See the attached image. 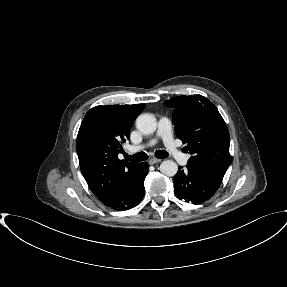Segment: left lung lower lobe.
Masks as SVG:
<instances>
[{
	"label": "left lung lower lobe",
	"mask_w": 287,
	"mask_h": 287,
	"mask_svg": "<svg viewBox=\"0 0 287 287\" xmlns=\"http://www.w3.org/2000/svg\"><path fill=\"white\" fill-rule=\"evenodd\" d=\"M223 175L203 170L200 168L186 166L179 167L174 176L175 195L186 202L200 204L210 199L218 190Z\"/></svg>",
	"instance_id": "0a47b994"
}]
</instances>
